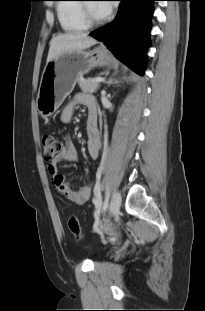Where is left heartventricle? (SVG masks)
<instances>
[{
    "instance_id": "1",
    "label": "left heart ventricle",
    "mask_w": 205,
    "mask_h": 311,
    "mask_svg": "<svg viewBox=\"0 0 205 311\" xmlns=\"http://www.w3.org/2000/svg\"><path fill=\"white\" fill-rule=\"evenodd\" d=\"M90 4V8L92 11V15L95 19H99L102 18L103 16L101 15V13L99 12L98 8H97V4L96 3H89Z\"/></svg>"
}]
</instances>
